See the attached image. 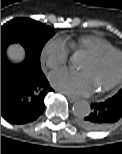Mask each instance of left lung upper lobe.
Returning <instances> with one entry per match:
<instances>
[{"mask_svg": "<svg viewBox=\"0 0 122 154\" xmlns=\"http://www.w3.org/2000/svg\"><path fill=\"white\" fill-rule=\"evenodd\" d=\"M116 96L118 97L122 96V89L116 94Z\"/></svg>", "mask_w": 122, "mask_h": 154, "instance_id": "5c2ea615", "label": "left lung upper lobe"}]
</instances>
